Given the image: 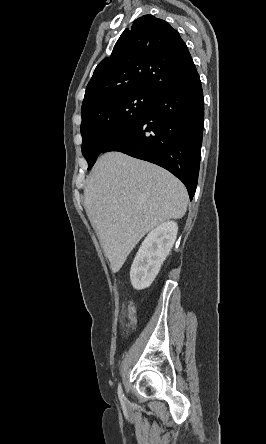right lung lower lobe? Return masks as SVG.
<instances>
[{
	"label": "right lung lower lobe",
	"mask_w": 266,
	"mask_h": 444,
	"mask_svg": "<svg viewBox=\"0 0 266 444\" xmlns=\"http://www.w3.org/2000/svg\"><path fill=\"white\" fill-rule=\"evenodd\" d=\"M204 125L199 74L156 95L150 112L115 136L102 153L118 151L157 164L186 186L190 200L196 187Z\"/></svg>",
	"instance_id": "obj_1"
}]
</instances>
